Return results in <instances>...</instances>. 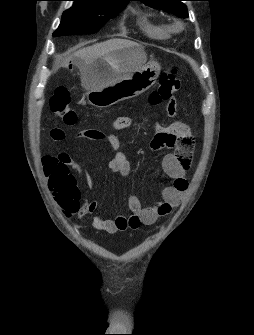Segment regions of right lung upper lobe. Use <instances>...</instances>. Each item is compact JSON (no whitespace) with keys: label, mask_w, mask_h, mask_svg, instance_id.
Instances as JSON below:
<instances>
[{"label":"right lung upper lobe","mask_w":254,"mask_h":335,"mask_svg":"<svg viewBox=\"0 0 254 335\" xmlns=\"http://www.w3.org/2000/svg\"><path fill=\"white\" fill-rule=\"evenodd\" d=\"M73 1H86V2L102 3V4H117V5L126 4L127 5V3L130 0H73Z\"/></svg>","instance_id":"obj_1"}]
</instances>
